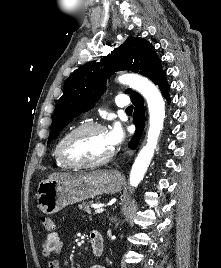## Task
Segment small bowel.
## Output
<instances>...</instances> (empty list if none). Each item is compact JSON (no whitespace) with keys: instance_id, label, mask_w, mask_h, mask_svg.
I'll return each instance as SVG.
<instances>
[{"instance_id":"small-bowel-1","label":"small bowel","mask_w":221,"mask_h":268,"mask_svg":"<svg viewBox=\"0 0 221 268\" xmlns=\"http://www.w3.org/2000/svg\"><path fill=\"white\" fill-rule=\"evenodd\" d=\"M63 248V242L56 230L47 231L46 237L41 244L43 256L46 258V268H60L57 255ZM90 268H104L100 265H93Z\"/></svg>"}]
</instances>
